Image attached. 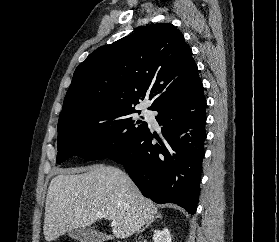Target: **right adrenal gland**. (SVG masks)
I'll return each mask as SVG.
<instances>
[{
    "instance_id": "obj_1",
    "label": "right adrenal gland",
    "mask_w": 279,
    "mask_h": 242,
    "mask_svg": "<svg viewBox=\"0 0 279 242\" xmlns=\"http://www.w3.org/2000/svg\"><path fill=\"white\" fill-rule=\"evenodd\" d=\"M157 218H159V219H162V216H161V214L159 213V214H157L156 215V217L154 218V219H152L150 222H148V223H146V226L145 227H143L139 232H142V231H144L149 225H151V223H153L154 222V220L155 219H157Z\"/></svg>"
}]
</instances>
